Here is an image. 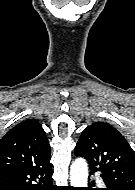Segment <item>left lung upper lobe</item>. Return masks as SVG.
Returning a JSON list of instances; mask_svg holds the SVG:
<instances>
[{
  "mask_svg": "<svg viewBox=\"0 0 135 190\" xmlns=\"http://www.w3.org/2000/svg\"><path fill=\"white\" fill-rule=\"evenodd\" d=\"M91 168L120 190H135V156L127 140L111 125L95 122L86 127L75 147Z\"/></svg>",
  "mask_w": 135,
  "mask_h": 190,
  "instance_id": "obj_1",
  "label": "left lung upper lobe"
}]
</instances>
